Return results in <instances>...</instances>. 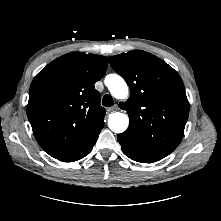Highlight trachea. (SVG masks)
<instances>
[{
	"instance_id": "obj_1",
	"label": "trachea",
	"mask_w": 221,
	"mask_h": 221,
	"mask_svg": "<svg viewBox=\"0 0 221 221\" xmlns=\"http://www.w3.org/2000/svg\"><path fill=\"white\" fill-rule=\"evenodd\" d=\"M102 104H103V106H105V107H111V106H113L114 101H113L112 96L109 95V94L104 95V96H103V99H102Z\"/></svg>"
}]
</instances>
